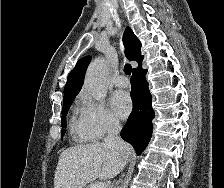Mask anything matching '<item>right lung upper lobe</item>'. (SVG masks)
I'll use <instances>...</instances> for the list:
<instances>
[{"label": "right lung upper lobe", "mask_w": 224, "mask_h": 188, "mask_svg": "<svg viewBox=\"0 0 224 188\" xmlns=\"http://www.w3.org/2000/svg\"><path fill=\"white\" fill-rule=\"evenodd\" d=\"M123 42L126 48V55L129 60H135L138 62L139 67L142 65L143 56H141V43L138 38L134 35L130 27H127L124 35ZM91 57L85 56L81 58L75 68L70 72L67 83L64 87L63 101L76 96L82 88L83 80L86 69L90 63ZM138 67V68H139Z\"/></svg>", "instance_id": "1"}]
</instances>
